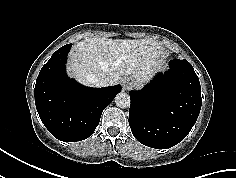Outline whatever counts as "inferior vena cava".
<instances>
[{"label":"inferior vena cava","mask_w":236,"mask_h":178,"mask_svg":"<svg viewBox=\"0 0 236 178\" xmlns=\"http://www.w3.org/2000/svg\"><path fill=\"white\" fill-rule=\"evenodd\" d=\"M89 81L97 87H105L108 86L110 83L109 78L105 76H99V77L90 76Z\"/></svg>","instance_id":"inferior-vena-cava-1"}]
</instances>
